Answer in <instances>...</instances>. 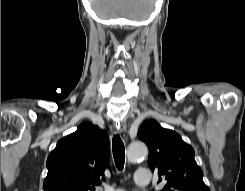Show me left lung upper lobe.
I'll use <instances>...</instances> for the list:
<instances>
[{"label": "left lung upper lobe", "mask_w": 245, "mask_h": 191, "mask_svg": "<svg viewBox=\"0 0 245 191\" xmlns=\"http://www.w3.org/2000/svg\"><path fill=\"white\" fill-rule=\"evenodd\" d=\"M138 137L149 148L148 165L158 172V182L167 181L161 191H210L195 161L194 149L178 133L149 120L141 125Z\"/></svg>", "instance_id": "1"}]
</instances>
